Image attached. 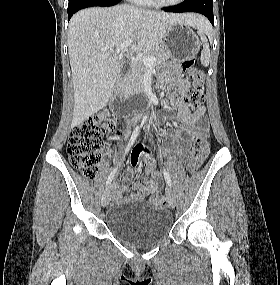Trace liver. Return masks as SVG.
Instances as JSON below:
<instances>
[{"label": "liver", "instance_id": "6515ba94", "mask_svg": "<svg viewBox=\"0 0 280 285\" xmlns=\"http://www.w3.org/2000/svg\"><path fill=\"white\" fill-rule=\"evenodd\" d=\"M175 23L198 27L206 20L197 14H169L130 5L77 12L68 27L74 88L72 126L79 125L108 103L120 72L115 49L132 39L133 51L154 50Z\"/></svg>", "mask_w": 280, "mask_h": 285}]
</instances>
